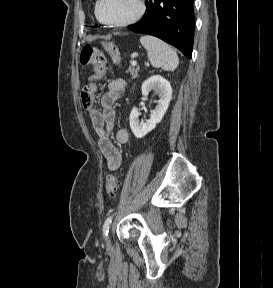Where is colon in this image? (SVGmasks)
Returning <instances> with one entry per match:
<instances>
[{"instance_id":"5ec220e1","label":"colon","mask_w":273,"mask_h":288,"mask_svg":"<svg viewBox=\"0 0 273 288\" xmlns=\"http://www.w3.org/2000/svg\"><path fill=\"white\" fill-rule=\"evenodd\" d=\"M105 50L115 63L121 60L119 49L114 43H106ZM80 63L93 67V79L101 78L106 70V57L100 49L91 45H85L80 52ZM95 87L93 84L86 85L81 91V102L84 108L91 109L94 102ZM119 188V179L116 175H108L106 180V193L109 197H114Z\"/></svg>"}]
</instances>
